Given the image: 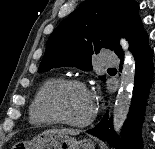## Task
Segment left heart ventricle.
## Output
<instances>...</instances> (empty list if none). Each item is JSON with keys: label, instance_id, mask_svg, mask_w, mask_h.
Returning <instances> with one entry per match:
<instances>
[{"label": "left heart ventricle", "instance_id": "obj_1", "mask_svg": "<svg viewBox=\"0 0 155 149\" xmlns=\"http://www.w3.org/2000/svg\"><path fill=\"white\" fill-rule=\"evenodd\" d=\"M56 103L61 113L72 121L86 119L93 110L89 93L75 86L61 89L56 95Z\"/></svg>", "mask_w": 155, "mask_h": 149}]
</instances>
